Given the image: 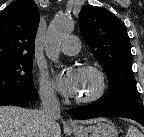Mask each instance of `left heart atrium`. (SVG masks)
Returning <instances> with one entry per match:
<instances>
[{"label": "left heart atrium", "instance_id": "obj_1", "mask_svg": "<svg viewBox=\"0 0 144 137\" xmlns=\"http://www.w3.org/2000/svg\"><path fill=\"white\" fill-rule=\"evenodd\" d=\"M58 88L67 97H74L79 91L80 76L76 69H67L57 79Z\"/></svg>", "mask_w": 144, "mask_h": 137}]
</instances>
